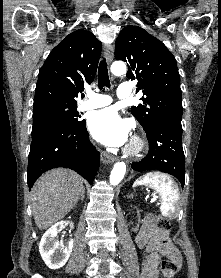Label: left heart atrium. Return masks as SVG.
Segmentation results:
<instances>
[{"instance_id": "39dd6f15", "label": "left heart atrium", "mask_w": 221, "mask_h": 278, "mask_svg": "<svg viewBox=\"0 0 221 278\" xmlns=\"http://www.w3.org/2000/svg\"><path fill=\"white\" fill-rule=\"evenodd\" d=\"M88 129L97 141L111 147L124 145L130 133L129 123L113 108L93 112L88 119Z\"/></svg>"}]
</instances>
